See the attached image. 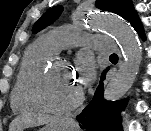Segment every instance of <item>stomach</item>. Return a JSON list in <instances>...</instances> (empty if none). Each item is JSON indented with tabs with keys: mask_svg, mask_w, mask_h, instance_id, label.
I'll return each mask as SVG.
<instances>
[{
	"mask_svg": "<svg viewBox=\"0 0 151 131\" xmlns=\"http://www.w3.org/2000/svg\"><path fill=\"white\" fill-rule=\"evenodd\" d=\"M40 131H76V126L68 120L60 119L53 124H47Z\"/></svg>",
	"mask_w": 151,
	"mask_h": 131,
	"instance_id": "stomach-1",
	"label": "stomach"
}]
</instances>
